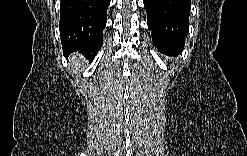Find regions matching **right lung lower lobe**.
Listing matches in <instances>:
<instances>
[{
  "mask_svg": "<svg viewBox=\"0 0 247 156\" xmlns=\"http://www.w3.org/2000/svg\"><path fill=\"white\" fill-rule=\"evenodd\" d=\"M110 0H61L60 35L63 53H82L87 59L96 56L103 44Z\"/></svg>",
  "mask_w": 247,
  "mask_h": 156,
  "instance_id": "obj_1",
  "label": "right lung lower lobe"
}]
</instances>
